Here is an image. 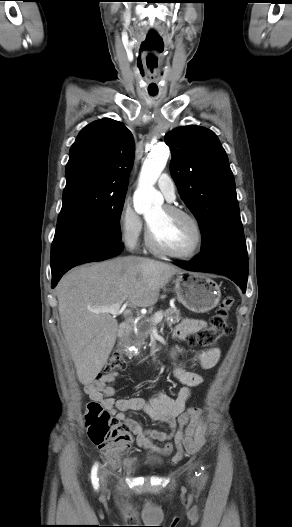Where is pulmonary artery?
<instances>
[{
  "instance_id": "e3ab8cb5",
  "label": "pulmonary artery",
  "mask_w": 292,
  "mask_h": 527,
  "mask_svg": "<svg viewBox=\"0 0 292 527\" xmlns=\"http://www.w3.org/2000/svg\"><path fill=\"white\" fill-rule=\"evenodd\" d=\"M157 185L168 201L175 199V184L168 174H162L157 180Z\"/></svg>"
}]
</instances>
